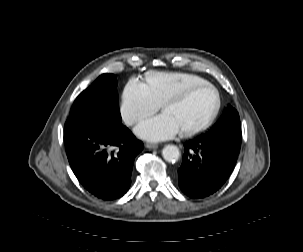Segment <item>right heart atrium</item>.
<instances>
[{"instance_id": "right-heart-atrium-1", "label": "right heart atrium", "mask_w": 303, "mask_h": 252, "mask_svg": "<svg viewBox=\"0 0 303 252\" xmlns=\"http://www.w3.org/2000/svg\"><path fill=\"white\" fill-rule=\"evenodd\" d=\"M159 109L149 96L145 83L136 77L131 78L123 91L119 111L125 124L131 126Z\"/></svg>"}]
</instances>
